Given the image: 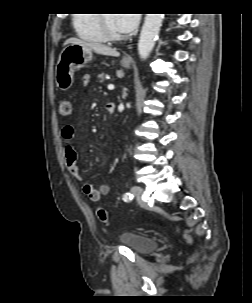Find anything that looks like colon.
<instances>
[{
  "mask_svg": "<svg viewBox=\"0 0 252 303\" xmlns=\"http://www.w3.org/2000/svg\"><path fill=\"white\" fill-rule=\"evenodd\" d=\"M59 111H60V114L64 117L69 116L72 112V103H71V101L68 100V99L61 100L60 104H59ZM96 214H97V217L100 221H102V222L107 221L108 214H107L106 210L103 207L98 206L96 208ZM184 238L187 242H191V237L188 234H184Z\"/></svg>",
  "mask_w": 252,
  "mask_h": 303,
  "instance_id": "obj_1",
  "label": "colon"
}]
</instances>
